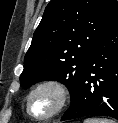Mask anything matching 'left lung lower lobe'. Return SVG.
Wrapping results in <instances>:
<instances>
[{
	"label": "left lung lower lobe",
	"mask_w": 118,
	"mask_h": 123,
	"mask_svg": "<svg viewBox=\"0 0 118 123\" xmlns=\"http://www.w3.org/2000/svg\"><path fill=\"white\" fill-rule=\"evenodd\" d=\"M84 116L118 120V19L95 44L62 121Z\"/></svg>",
	"instance_id": "left-lung-lower-lobe-1"
}]
</instances>
